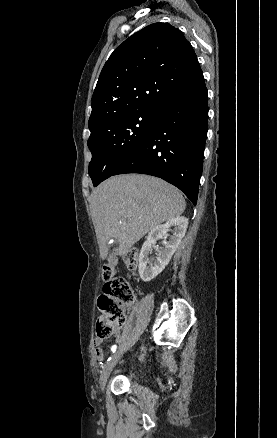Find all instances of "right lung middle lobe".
I'll list each match as a JSON object with an SVG mask.
<instances>
[{
  "instance_id": "1",
  "label": "right lung middle lobe",
  "mask_w": 277,
  "mask_h": 438,
  "mask_svg": "<svg viewBox=\"0 0 277 438\" xmlns=\"http://www.w3.org/2000/svg\"><path fill=\"white\" fill-rule=\"evenodd\" d=\"M157 108L114 116L89 127L88 147L92 153L89 175L97 186L109 178L145 139Z\"/></svg>"
}]
</instances>
